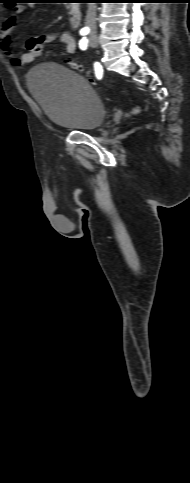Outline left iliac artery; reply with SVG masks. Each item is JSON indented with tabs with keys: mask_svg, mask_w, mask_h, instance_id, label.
<instances>
[{
	"mask_svg": "<svg viewBox=\"0 0 190 483\" xmlns=\"http://www.w3.org/2000/svg\"><path fill=\"white\" fill-rule=\"evenodd\" d=\"M87 44H88V40L87 38L83 37L80 41H79V47L81 50H85L87 48Z\"/></svg>",
	"mask_w": 190,
	"mask_h": 483,
	"instance_id": "obj_1",
	"label": "left iliac artery"
}]
</instances>
